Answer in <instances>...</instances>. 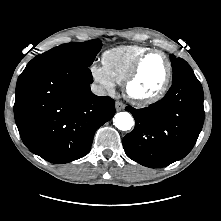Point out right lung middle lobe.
I'll list each match as a JSON object with an SVG mask.
<instances>
[{"label":"right lung middle lobe","mask_w":221,"mask_h":221,"mask_svg":"<svg viewBox=\"0 0 221 221\" xmlns=\"http://www.w3.org/2000/svg\"><path fill=\"white\" fill-rule=\"evenodd\" d=\"M101 47L98 39L66 43L37 55L30 62H62L89 67Z\"/></svg>","instance_id":"1"}]
</instances>
